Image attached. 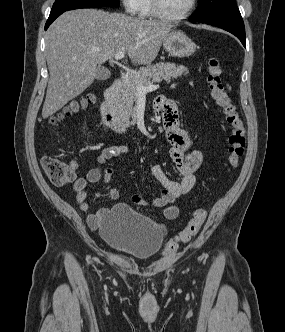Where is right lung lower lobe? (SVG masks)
<instances>
[{
    "mask_svg": "<svg viewBox=\"0 0 285 332\" xmlns=\"http://www.w3.org/2000/svg\"><path fill=\"white\" fill-rule=\"evenodd\" d=\"M63 12L65 11H59V12H51L50 13V16L46 22V25H45V30L50 26V24L59 16L61 15Z\"/></svg>",
    "mask_w": 285,
    "mask_h": 332,
    "instance_id": "1",
    "label": "right lung lower lobe"
}]
</instances>
